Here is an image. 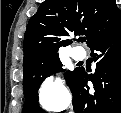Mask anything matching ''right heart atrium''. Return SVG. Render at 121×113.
I'll return each instance as SVG.
<instances>
[{
	"instance_id": "d8ad5b80",
	"label": "right heart atrium",
	"mask_w": 121,
	"mask_h": 113,
	"mask_svg": "<svg viewBox=\"0 0 121 113\" xmlns=\"http://www.w3.org/2000/svg\"><path fill=\"white\" fill-rule=\"evenodd\" d=\"M69 92L58 77L47 78L39 89V100L49 110L63 109L69 102Z\"/></svg>"
}]
</instances>
